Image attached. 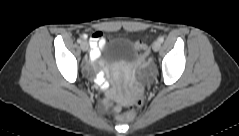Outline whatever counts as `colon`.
<instances>
[{"instance_id": "obj_1", "label": "colon", "mask_w": 239, "mask_h": 136, "mask_svg": "<svg viewBox=\"0 0 239 136\" xmlns=\"http://www.w3.org/2000/svg\"><path fill=\"white\" fill-rule=\"evenodd\" d=\"M141 107V99L135 97L132 100V104L129 106L127 113L120 114L118 116L121 121H130L133 119L135 112ZM119 111V109H117Z\"/></svg>"}]
</instances>
